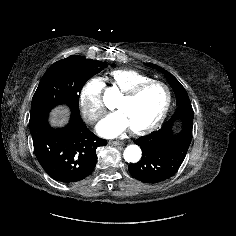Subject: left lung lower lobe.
<instances>
[{"instance_id":"obj_1","label":"left lung lower lobe","mask_w":236,"mask_h":236,"mask_svg":"<svg viewBox=\"0 0 236 236\" xmlns=\"http://www.w3.org/2000/svg\"><path fill=\"white\" fill-rule=\"evenodd\" d=\"M193 109L191 103L177 106L175 113L158 131L134 142L142 149V158L129 164L130 174L145 183H158L172 177L181 166L192 139ZM175 122L181 131L173 132Z\"/></svg>"}]
</instances>
